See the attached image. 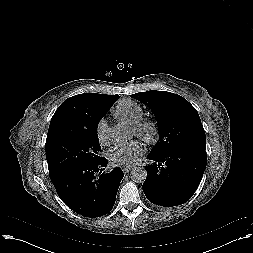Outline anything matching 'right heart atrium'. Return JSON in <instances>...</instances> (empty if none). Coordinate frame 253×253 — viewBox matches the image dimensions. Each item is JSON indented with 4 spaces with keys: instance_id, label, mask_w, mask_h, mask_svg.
<instances>
[{
    "instance_id": "1",
    "label": "right heart atrium",
    "mask_w": 253,
    "mask_h": 253,
    "mask_svg": "<svg viewBox=\"0 0 253 253\" xmlns=\"http://www.w3.org/2000/svg\"><path fill=\"white\" fill-rule=\"evenodd\" d=\"M96 136L101 145H108L111 142V127L105 118L98 121L96 126Z\"/></svg>"
}]
</instances>
